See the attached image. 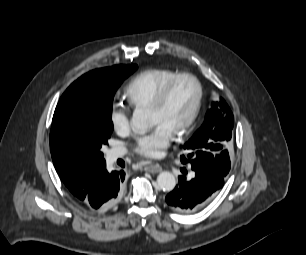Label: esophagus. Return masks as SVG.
<instances>
[{"label": "esophagus", "instance_id": "esophagus-1", "mask_svg": "<svg viewBox=\"0 0 306 255\" xmlns=\"http://www.w3.org/2000/svg\"><path fill=\"white\" fill-rule=\"evenodd\" d=\"M144 171L149 173H159L162 171V167L159 164H148L144 166Z\"/></svg>", "mask_w": 306, "mask_h": 255}]
</instances>
